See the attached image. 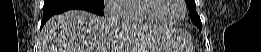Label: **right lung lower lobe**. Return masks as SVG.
<instances>
[{"label": "right lung lower lobe", "mask_w": 261, "mask_h": 52, "mask_svg": "<svg viewBox=\"0 0 261 52\" xmlns=\"http://www.w3.org/2000/svg\"><path fill=\"white\" fill-rule=\"evenodd\" d=\"M70 9H82V10L93 12L98 15H103L102 10L100 9L85 6L76 2H71L69 0H45L41 27L51 16L62 13Z\"/></svg>", "instance_id": "1"}]
</instances>
